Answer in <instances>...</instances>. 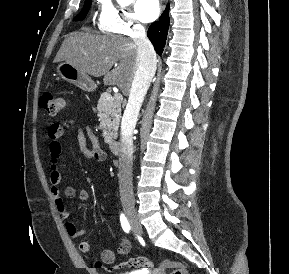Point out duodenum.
Wrapping results in <instances>:
<instances>
[{
	"instance_id": "1",
	"label": "duodenum",
	"mask_w": 289,
	"mask_h": 274,
	"mask_svg": "<svg viewBox=\"0 0 289 274\" xmlns=\"http://www.w3.org/2000/svg\"><path fill=\"white\" fill-rule=\"evenodd\" d=\"M109 147L110 150L112 151V153H114L115 155L120 154L121 152V144L119 141L113 140L109 143Z\"/></svg>"
}]
</instances>
